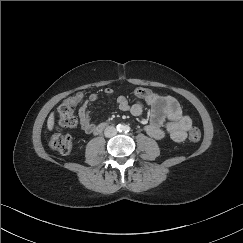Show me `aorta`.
I'll return each instance as SVG.
<instances>
[{"instance_id":"obj_1","label":"aorta","mask_w":243,"mask_h":243,"mask_svg":"<svg viewBox=\"0 0 243 243\" xmlns=\"http://www.w3.org/2000/svg\"><path fill=\"white\" fill-rule=\"evenodd\" d=\"M118 130L119 131H125L126 130V126H124V125L119 126Z\"/></svg>"}]
</instances>
